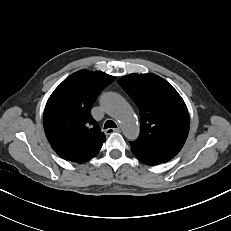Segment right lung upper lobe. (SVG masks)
<instances>
[{"label":"right lung upper lobe","instance_id":"right-lung-upper-lobe-1","mask_svg":"<svg viewBox=\"0 0 231 231\" xmlns=\"http://www.w3.org/2000/svg\"><path fill=\"white\" fill-rule=\"evenodd\" d=\"M114 79L101 71L80 70L51 94L43 125L51 147L61 158L82 164L98 154L106 138L90 109L98 94Z\"/></svg>","mask_w":231,"mask_h":231}]
</instances>
